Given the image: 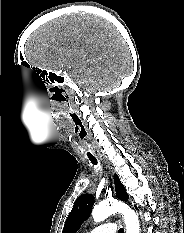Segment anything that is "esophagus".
Returning a JSON list of instances; mask_svg holds the SVG:
<instances>
[{"label": "esophagus", "mask_w": 184, "mask_h": 233, "mask_svg": "<svg viewBox=\"0 0 184 233\" xmlns=\"http://www.w3.org/2000/svg\"><path fill=\"white\" fill-rule=\"evenodd\" d=\"M107 167L110 169V166L107 164ZM111 171V170H110Z\"/></svg>", "instance_id": "34e87169"}]
</instances>
